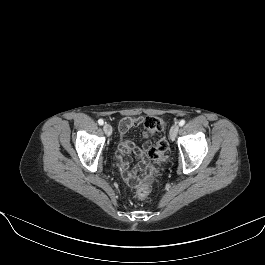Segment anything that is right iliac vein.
Masks as SVG:
<instances>
[{
  "mask_svg": "<svg viewBox=\"0 0 265 265\" xmlns=\"http://www.w3.org/2000/svg\"><path fill=\"white\" fill-rule=\"evenodd\" d=\"M103 130L107 136H110L112 134V127L107 123L104 124Z\"/></svg>",
  "mask_w": 265,
  "mask_h": 265,
  "instance_id": "1",
  "label": "right iliac vein"
}]
</instances>
